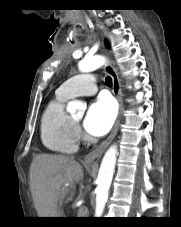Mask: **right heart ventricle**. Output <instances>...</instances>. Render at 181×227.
<instances>
[{"instance_id":"obj_1","label":"right heart ventricle","mask_w":181,"mask_h":227,"mask_svg":"<svg viewBox=\"0 0 181 227\" xmlns=\"http://www.w3.org/2000/svg\"><path fill=\"white\" fill-rule=\"evenodd\" d=\"M70 98L56 92L49 101L41 118V140L50 151L71 154L78 148V136L75 123L65 111Z\"/></svg>"}]
</instances>
